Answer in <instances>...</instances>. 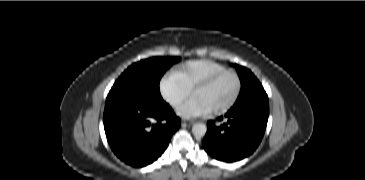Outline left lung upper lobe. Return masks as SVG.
Returning <instances> with one entry per match:
<instances>
[{
    "label": "left lung upper lobe",
    "instance_id": "obj_1",
    "mask_svg": "<svg viewBox=\"0 0 365 180\" xmlns=\"http://www.w3.org/2000/svg\"><path fill=\"white\" fill-rule=\"evenodd\" d=\"M235 67L241 80V91L238 99L265 92L261 83L250 70L237 64H235Z\"/></svg>",
    "mask_w": 365,
    "mask_h": 180
}]
</instances>
